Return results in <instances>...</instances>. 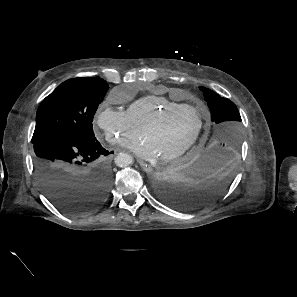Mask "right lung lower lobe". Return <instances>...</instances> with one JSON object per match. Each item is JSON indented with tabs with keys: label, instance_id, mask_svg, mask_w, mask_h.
<instances>
[{
	"label": "right lung lower lobe",
	"instance_id": "right-lung-lower-lobe-1",
	"mask_svg": "<svg viewBox=\"0 0 297 297\" xmlns=\"http://www.w3.org/2000/svg\"><path fill=\"white\" fill-rule=\"evenodd\" d=\"M34 167L48 199L62 212L81 215L97 210L108 198L112 173L97 140L68 133L32 140Z\"/></svg>",
	"mask_w": 297,
	"mask_h": 297
}]
</instances>
